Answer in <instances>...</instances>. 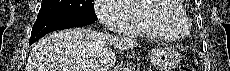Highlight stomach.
<instances>
[{
	"label": "stomach",
	"instance_id": "stomach-1",
	"mask_svg": "<svg viewBox=\"0 0 230 71\" xmlns=\"http://www.w3.org/2000/svg\"><path fill=\"white\" fill-rule=\"evenodd\" d=\"M149 58L155 66L166 71L174 68L179 62L178 53L170 48H155L149 53Z\"/></svg>",
	"mask_w": 230,
	"mask_h": 71
}]
</instances>
